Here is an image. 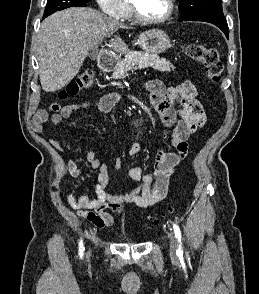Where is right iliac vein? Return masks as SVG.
I'll list each match as a JSON object with an SVG mask.
<instances>
[{"label":"right iliac vein","instance_id":"right-iliac-vein-1","mask_svg":"<svg viewBox=\"0 0 259 294\" xmlns=\"http://www.w3.org/2000/svg\"><path fill=\"white\" fill-rule=\"evenodd\" d=\"M88 256H90V252H88Z\"/></svg>","mask_w":259,"mask_h":294}]
</instances>
